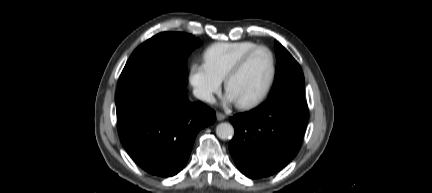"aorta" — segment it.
<instances>
[{
	"label": "aorta",
	"instance_id": "obj_1",
	"mask_svg": "<svg viewBox=\"0 0 432 193\" xmlns=\"http://www.w3.org/2000/svg\"><path fill=\"white\" fill-rule=\"evenodd\" d=\"M216 134L222 140H229L234 136V128L230 123L223 122L217 125Z\"/></svg>",
	"mask_w": 432,
	"mask_h": 193
}]
</instances>
